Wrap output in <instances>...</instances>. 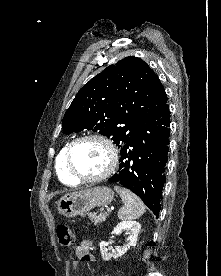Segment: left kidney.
<instances>
[{
	"label": "left kidney",
	"mask_w": 221,
	"mask_h": 276,
	"mask_svg": "<svg viewBox=\"0 0 221 276\" xmlns=\"http://www.w3.org/2000/svg\"><path fill=\"white\" fill-rule=\"evenodd\" d=\"M140 229H141V225L137 221L125 220V221L120 222L113 229L111 234L112 235L113 234H118V233L122 232L123 230H125L126 234L129 236L128 237V243L126 245L122 246V247L118 246L115 250H113L110 253V252H108V249L106 248L107 243L105 241H102L100 243V251H101L102 258L105 261H108L111 258L116 259V258L122 256L123 254H125L131 246H136L137 238H138V234L140 232Z\"/></svg>",
	"instance_id": "left-kidney-1"
}]
</instances>
